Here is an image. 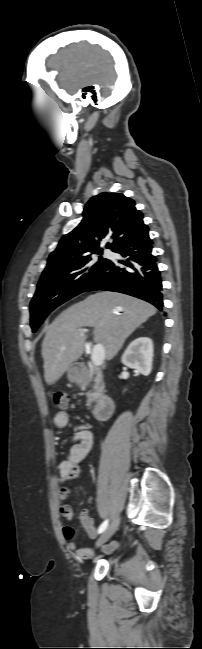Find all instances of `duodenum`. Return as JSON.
Segmentation results:
<instances>
[{
	"mask_svg": "<svg viewBox=\"0 0 202 649\" xmlns=\"http://www.w3.org/2000/svg\"><path fill=\"white\" fill-rule=\"evenodd\" d=\"M114 411L113 400L109 396L100 398L94 407V415L100 420L109 419Z\"/></svg>",
	"mask_w": 202,
	"mask_h": 649,
	"instance_id": "1",
	"label": "duodenum"
}]
</instances>
